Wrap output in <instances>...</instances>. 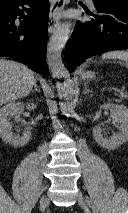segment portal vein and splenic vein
<instances>
[{
  "instance_id": "1",
  "label": "portal vein and splenic vein",
  "mask_w": 128,
  "mask_h": 213,
  "mask_svg": "<svg viewBox=\"0 0 128 213\" xmlns=\"http://www.w3.org/2000/svg\"><path fill=\"white\" fill-rule=\"evenodd\" d=\"M120 97H127V93L124 90H119Z\"/></svg>"
}]
</instances>
